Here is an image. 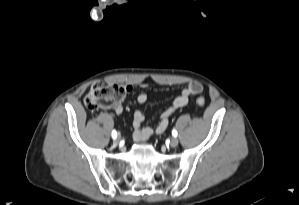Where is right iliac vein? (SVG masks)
Listing matches in <instances>:
<instances>
[{"label": "right iliac vein", "mask_w": 299, "mask_h": 205, "mask_svg": "<svg viewBox=\"0 0 299 205\" xmlns=\"http://www.w3.org/2000/svg\"><path fill=\"white\" fill-rule=\"evenodd\" d=\"M119 140H120V136H118V137H116V138L114 139V143H115V144H118V143H119Z\"/></svg>", "instance_id": "obj_1"}]
</instances>
